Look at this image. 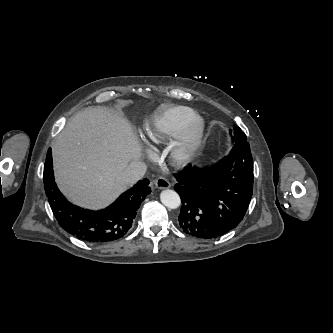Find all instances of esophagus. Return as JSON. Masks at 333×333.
I'll use <instances>...</instances> for the list:
<instances>
[{
    "mask_svg": "<svg viewBox=\"0 0 333 333\" xmlns=\"http://www.w3.org/2000/svg\"><path fill=\"white\" fill-rule=\"evenodd\" d=\"M155 185L157 188L159 189H167L171 187V184L169 183V181L164 178V177H159L158 179L155 180Z\"/></svg>",
    "mask_w": 333,
    "mask_h": 333,
    "instance_id": "34e87169",
    "label": "esophagus"
}]
</instances>
